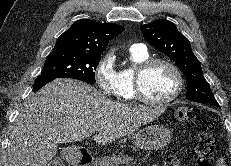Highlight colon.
I'll return each mask as SVG.
<instances>
[{
	"label": "colon",
	"instance_id": "colon-1",
	"mask_svg": "<svg viewBox=\"0 0 231 166\" xmlns=\"http://www.w3.org/2000/svg\"><path fill=\"white\" fill-rule=\"evenodd\" d=\"M175 118L180 123L190 121L195 115V109L190 106H178L174 111ZM216 146V138L212 130L202 127L193 143L197 166H208ZM178 157L168 158L163 166H179ZM50 166H63L61 163H53Z\"/></svg>",
	"mask_w": 231,
	"mask_h": 166
}]
</instances>
